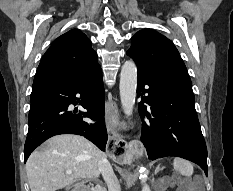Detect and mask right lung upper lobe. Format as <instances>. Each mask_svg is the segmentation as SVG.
Instances as JSON below:
<instances>
[{"label": "right lung upper lobe", "instance_id": "1", "mask_svg": "<svg viewBox=\"0 0 233 191\" xmlns=\"http://www.w3.org/2000/svg\"><path fill=\"white\" fill-rule=\"evenodd\" d=\"M98 66L91 41L80 30L72 29L52 42L38 66L34 83L43 80H77Z\"/></svg>", "mask_w": 233, "mask_h": 191}]
</instances>
